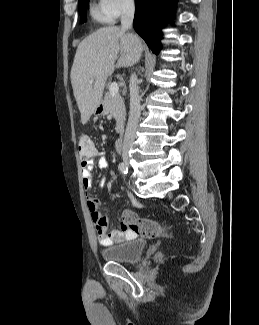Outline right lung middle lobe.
I'll use <instances>...</instances> for the list:
<instances>
[{"label":"right lung middle lobe","instance_id":"obj_1","mask_svg":"<svg viewBox=\"0 0 259 325\" xmlns=\"http://www.w3.org/2000/svg\"><path fill=\"white\" fill-rule=\"evenodd\" d=\"M89 0H79V12L82 22L86 21V5Z\"/></svg>","mask_w":259,"mask_h":325}]
</instances>
